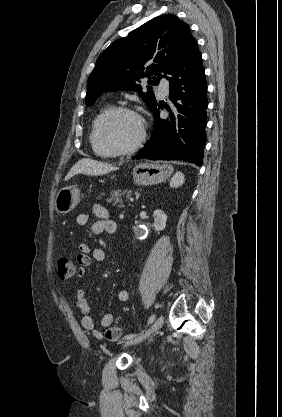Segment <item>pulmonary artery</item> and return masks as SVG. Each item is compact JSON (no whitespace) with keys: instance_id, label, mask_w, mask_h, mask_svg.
Instances as JSON below:
<instances>
[{"instance_id":"pulmonary-artery-1","label":"pulmonary artery","mask_w":282,"mask_h":417,"mask_svg":"<svg viewBox=\"0 0 282 417\" xmlns=\"http://www.w3.org/2000/svg\"><path fill=\"white\" fill-rule=\"evenodd\" d=\"M160 88H161V92L163 95H167L168 93V82L167 81H162L160 84Z\"/></svg>"}]
</instances>
